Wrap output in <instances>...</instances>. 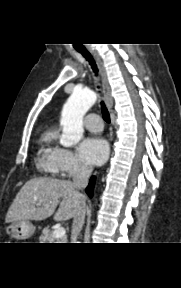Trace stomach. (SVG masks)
I'll return each instance as SVG.
<instances>
[{
	"instance_id": "1",
	"label": "stomach",
	"mask_w": 181,
	"mask_h": 288,
	"mask_svg": "<svg viewBox=\"0 0 181 288\" xmlns=\"http://www.w3.org/2000/svg\"><path fill=\"white\" fill-rule=\"evenodd\" d=\"M5 233L11 239L26 240L34 233V226L29 221H14L5 227Z\"/></svg>"
}]
</instances>
